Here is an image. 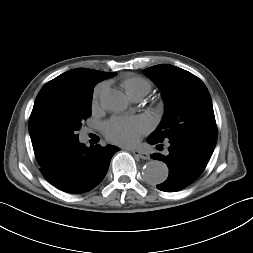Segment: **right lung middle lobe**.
I'll return each mask as SVG.
<instances>
[{
    "mask_svg": "<svg viewBox=\"0 0 253 253\" xmlns=\"http://www.w3.org/2000/svg\"><path fill=\"white\" fill-rule=\"evenodd\" d=\"M93 90H61L45 95L34 105L29 130L48 144L66 149L78 142L77 131L91 115Z\"/></svg>",
    "mask_w": 253,
    "mask_h": 253,
    "instance_id": "1",
    "label": "right lung middle lobe"
}]
</instances>
